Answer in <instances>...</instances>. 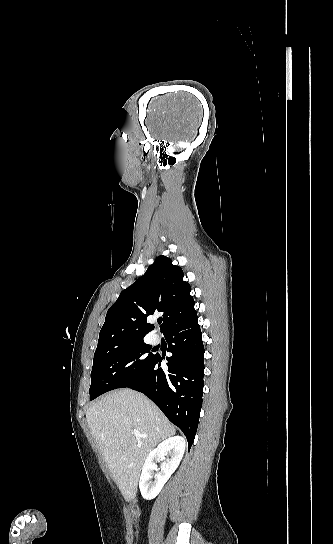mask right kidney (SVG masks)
Wrapping results in <instances>:
<instances>
[{
  "instance_id": "obj_1",
  "label": "right kidney",
  "mask_w": 333,
  "mask_h": 544,
  "mask_svg": "<svg viewBox=\"0 0 333 544\" xmlns=\"http://www.w3.org/2000/svg\"><path fill=\"white\" fill-rule=\"evenodd\" d=\"M185 441L180 436L171 437L160 443L156 449L150 452L145 460L139 481L141 495L146 500L155 498L177 469L183 458ZM169 454L170 459L165 461V455ZM157 461H163L160 471L155 475L152 482V473L157 470Z\"/></svg>"
}]
</instances>
